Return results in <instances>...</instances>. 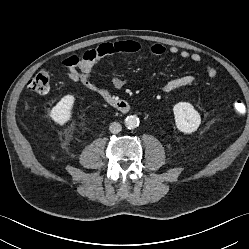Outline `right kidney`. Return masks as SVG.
Masks as SVG:
<instances>
[{"mask_svg":"<svg viewBox=\"0 0 249 249\" xmlns=\"http://www.w3.org/2000/svg\"><path fill=\"white\" fill-rule=\"evenodd\" d=\"M74 102L75 97L73 95H66L61 98V100L50 111L51 119L59 125H64L70 121Z\"/></svg>","mask_w":249,"mask_h":249,"instance_id":"obj_1","label":"right kidney"}]
</instances>
